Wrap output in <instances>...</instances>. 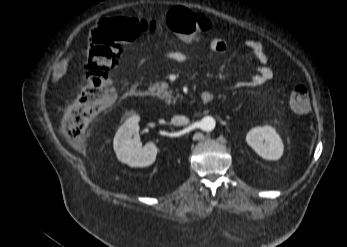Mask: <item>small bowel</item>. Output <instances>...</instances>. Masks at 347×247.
<instances>
[{
    "label": "small bowel",
    "instance_id": "small-bowel-1",
    "mask_svg": "<svg viewBox=\"0 0 347 247\" xmlns=\"http://www.w3.org/2000/svg\"><path fill=\"white\" fill-rule=\"evenodd\" d=\"M210 50L214 53H223L227 49V42L221 37H215L210 41ZM245 47L252 53L258 63V71L244 83L245 86L256 87L265 84L273 77V69L269 64L267 53L262 43L255 40H247ZM167 59L173 62L183 63L188 61L189 57L182 51H171L167 54ZM66 70V64L58 63L53 69L54 78L58 79Z\"/></svg>",
    "mask_w": 347,
    "mask_h": 247
}]
</instances>
